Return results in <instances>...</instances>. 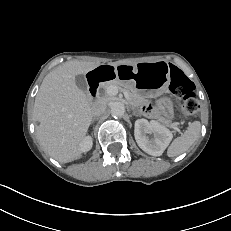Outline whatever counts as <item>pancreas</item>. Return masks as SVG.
Here are the masks:
<instances>
[{"label":"pancreas","instance_id":"obj_1","mask_svg":"<svg viewBox=\"0 0 231 231\" xmlns=\"http://www.w3.org/2000/svg\"><path fill=\"white\" fill-rule=\"evenodd\" d=\"M109 86H116L120 91L127 92L129 94L128 100L132 105L137 106L141 103L142 99H141L140 95L137 93V90L134 88V86L131 82H125V81H121V80H113L111 82L103 84V87L105 90H107V88ZM165 123L170 125V122H165Z\"/></svg>","mask_w":231,"mask_h":231}]
</instances>
